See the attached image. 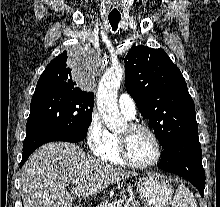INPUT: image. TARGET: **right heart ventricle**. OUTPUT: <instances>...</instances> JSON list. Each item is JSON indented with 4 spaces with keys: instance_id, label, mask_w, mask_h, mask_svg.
Listing matches in <instances>:
<instances>
[{
    "instance_id": "1",
    "label": "right heart ventricle",
    "mask_w": 220,
    "mask_h": 207,
    "mask_svg": "<svg viewBox=\"0 0 220 207\" xmlns=\"http://www.w3.org/2000/svg\"><path fill=\"white\" fill-rule=\"evenodd\" d=\"M99 159L113 165H126L118 151L117 135L111 134L109 143L102 150L94 153Z\"/></svg>"
}]
</instances>
